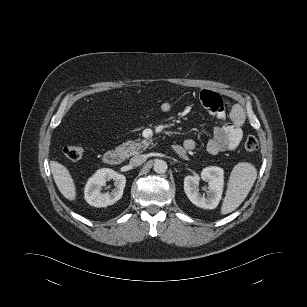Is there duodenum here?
<instances>
[{
  "label": "duodenum",
  "instance_id": "1",
  "mask_svg": "<svg viewBox=\"0 0 307 307\" xmlns=\"http://www.w3.org/2000/svg\"><path fill=\"white\" fill-rule=\"evenodd\" d=\"M103 160L107 165L116 166L122 162L123 157L119 151L111 149L104 153Z\"/></svg>",
  "mask_w": 307,
  "mask_h": 307
}]
</instances>
